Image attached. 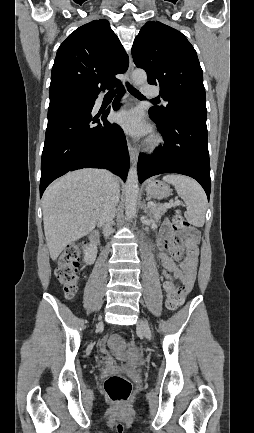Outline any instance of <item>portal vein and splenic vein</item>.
<instances>
[{
	"mask_svg": "<svg viewBox=\"0 0 254 433\" xmlns=\"http://www.w3.org/2000/svg\"><path fill=\"white\" fill-rule=\"evenodd\" d=\"M180 204V201L179 200H177V201H175L174 203H171V204H167V205H165V206H167V207H169V206H173V205H179ZM148 207H151V206H153L154 205V203L153 202H148Z\"/></svg>",
	"mask_w": 254,
	"mask_h": 433,
	"instance_id": "18ae733b",
	"label": "portal vein and splenic vein"
}]
</instances>
